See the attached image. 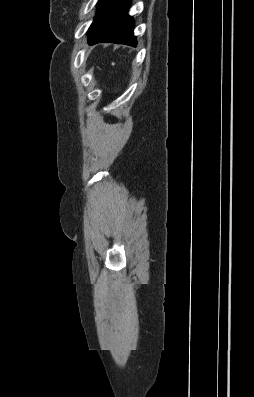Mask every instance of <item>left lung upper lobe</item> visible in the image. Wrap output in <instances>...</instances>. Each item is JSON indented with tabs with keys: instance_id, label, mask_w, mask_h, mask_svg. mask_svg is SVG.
I'll return each mask as SVG.
<instances>
[{
	"instance_id": "left-lung-upper-lobe-1",
	"label": "left lung upper lobe",
	"mask_w": 254,
	"mask_h": 397,
	"mask_svg": "<svg viewBox=\"0 0 254 397\" xmlns=\"http://www.w3.org/2000/svg\"><path fill=\"white\" fill-rule=\"evenodd\" d=\"M108 2H109V0H99L98 1V3H97L98 9L96 12V16L94 17L93 23L91 24V26L88 30V36H90L94 32V30L97 28V26L99 25L103 15H104V12H105Z\"/></svg>"
}]
</instances>
